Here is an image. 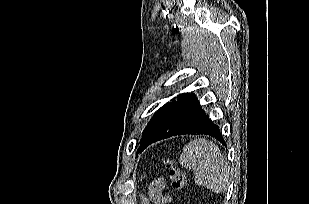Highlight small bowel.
<instances>
[{
  "label": "small bowel",
  "instance_id": "c3829d8e",
  "mask_svg": "<svg viewBox=\"0 0 309 204\" xmlns=\"http://www.w3.org/2000/svg\"><path fill=\"white\" fill-rule=\"evenodd\" d=\"M166 180L161 176H156L149 187V199L153 204H167L171 197L164 193Z\"/></svg>",
  "mask_w": 309,
  "mask_h": 204
}]
</instances>
